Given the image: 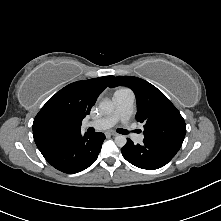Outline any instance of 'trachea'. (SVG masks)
<instances>
[{"label":"trachea","instance_id":"trachea-1","mask_svg":"<svg viewBox=\"0 0 221 221\" xmlns=\"http://www.w3.org/2000/svg\"><path fill=\"white\" fill-rule=\"evenodd\" d=\"M117 132L120 134H124V135H126L128 133V131L124 130V129H118Z\"/></svg>","mask_w":221,"mask_h":221}]
</instances>
